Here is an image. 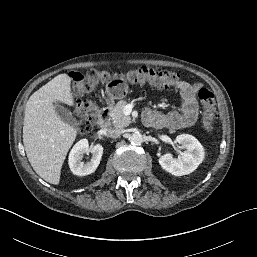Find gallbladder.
Segmentation results:
<instances>
[{
  "mask_svg": "<svg viewBox=\"0 0 257 257\" xmlns=\"http://www.w3.org/2000/svg\"><path fill=\"white\" fill-rule=\"evenodd\" d=\"M54 109L61 120L68 123L69 125L76 124V119L72 116V114L65 107H63L60 104H54Z\"/></svg>",
  "mask_w": 257,
  "mask_h": 257,
  "instance_id": "bac80fb5",
  "label": "gallbladder"
}]
</instances>
